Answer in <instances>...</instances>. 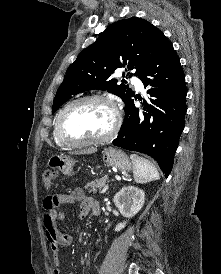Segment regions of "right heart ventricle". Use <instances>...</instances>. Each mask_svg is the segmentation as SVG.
I'll list each match as a JSON object with an SVG mask.
<instances>
[{"label":"right heart ventricle","mask_w":221,"mask_h":274,"mask_svg":"<svg viewBox=\"0 0 221 274\" xmlns=\"http://www.w3.org/2000/svg\"><path fill=\"white\" fill-rule=\"evenodd\" d=\"M57 119H58V116L56 117L55 119V122H54V127H53V140L54 142L59 145V146H66V144H64L60 138L58 137L57 135V129H56V126H57Z\"/></svg>","instance_id":"e07e8e85"}]
</instances>
